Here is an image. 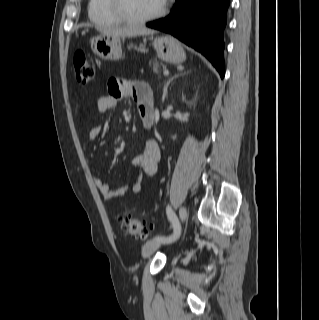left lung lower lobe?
I'll use <instances>...</instances> for the list:
<instances>
[{
    "label": "left lung lower lobe",
    "instance_id": "0a47b994",
    "mask_svg": "<svg viewBox=\"0 0 319 320\" xmlns=\"http://www.w3.org/2000/svg\"><path fill=\"white\" fill-rule=\"evenodd\" d=\"M229 3V0H176L166 18L146 26L169 33L202 53L223 78V31Z\"/></svg>",
    "mask_w": 319,
    "mask_h": 320
}]
</instances>
